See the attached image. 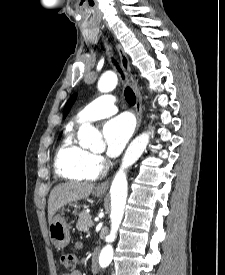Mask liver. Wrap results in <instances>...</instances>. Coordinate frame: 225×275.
Segmentation results:
<instances>
[{"label": "liver", "instance_id": "obj_1", "mask_svg": "<svg viewBox=\"0 0 225 275\" xmlns=\"http://www.w3.org/2000/svg\"><path fill=\"white\" fill-rule=\"evenodd\" d=\"M95 186L92 183L66 182L55 186L48 199V221L65 205L90 196Z\"/></svg>", "mask_w": 225, "mask_h": 275}]
</instances>
